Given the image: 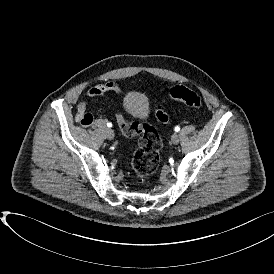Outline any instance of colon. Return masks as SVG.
Returning a JSON list of instances; mask_svg holds the SVG:
<instances>
[{
  "label": "colon",
  "instance_id": "5ec220e1",
  "mask_svg": "<svg viewBox=\"0 0 274 274\" xmlns=\"http://www.w3.org/2000/svg\"><path fill=\"white\" fill-rule=\"evenodd\" d=\"M170 97L193 108L202 106L200 97L188 86L177 85L173 87L170 90ZM154 115L158 123L166 124L169 122V114L162 108L156 109ZM116 120L125 137L132 138L141 135V140L133 155L132 170L141 179L150 177L156 172L160 161L162 142L157 129L144 120L129 122L121 113L116 114Z\"/></svg>",
  "mask_w": 274,
  "mask_h": 274
}]
</instances>
